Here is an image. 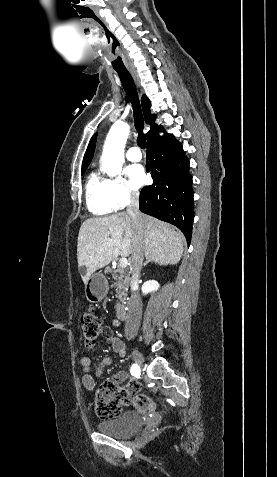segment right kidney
I'll list each match as a JSON object with an SVG mask.
<instances>
[{
	"instance_id": "right-kidney-1",
	"label": "right kidney",
	"mask_w": 277,
	"mask_h": 477,
	"mask_svg": "<svg viewBox=\"0 0 277 477\" xmlns=\"http://www.w3.org/2000/svg\"><path fill=\"white\" fill-rule=\"evenodd\" d=\"M159 283L155 280H148L142 285V293L148 294L154 291H157L159 288Z\"/></svg>"
}]
</instances>
